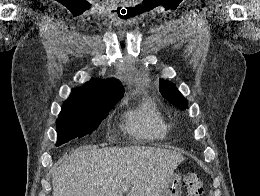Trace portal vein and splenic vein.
<instances>
[{
    "label": "portal vein and splenic vein",
    "instance_id": "obj_1",
    "mask_svg": "<svg viewBox=\"0 0 260 196\" xmlns=\"http://www.w3.org/2000/svg\"><path fill=\"white\" fill-rule=\"evenodd\" d=\"M129 188H123L122 192H128Z\"/></svg>",
    "mask_w": 260,
    "mask_h": 196
}]
</instances>
